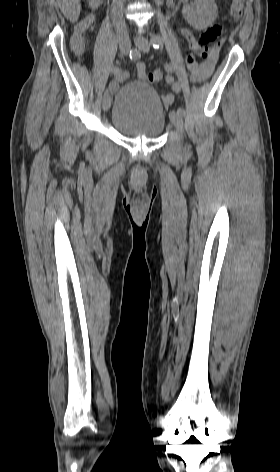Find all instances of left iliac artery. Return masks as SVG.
Here are the masks:
<instances>
[{"mask_svg": "<svg viewBox=\"0 0 280 472\" xmlns=\"http://www.w3.org/2000/svg\"><path fill=\"white\" fill-rule=\"evenodd\" d=\"M151 43L153 45V47L155 49H158L159 47H161L163 45V40L161 37L159 36H152L151 37ZM165 70L168 72V73H173L174 72V66L170 63L168 64H165ZM171 84H172V90L175 92V93H179L180 90H181V85L178 81H174L173 78H171ZM177 112L181 115H184L185 114V110L184 108L182 107H179L177 109Z\"/></svg>", "mask_w": 280, "mask_h": 472, "instance_id": "1", "label": "left iliac artery"}]
</instances>
